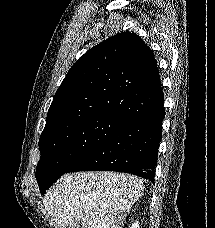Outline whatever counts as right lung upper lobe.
I'll list each match as a JSON object with an SVG mask.
<instances>
[{"label": "right lung upper lobe", "instance_id": "1", "mask_svg": "<svg viewBox=\"0 0 215 228\" xmlns=\"http://www.w3.org/2000/svg\"><path fill=\"white\" fill-rule=\"evenodd\" d=\"M164 101L153 51L121 32L87 51L71 67L47 113L42 134L95 116L129 120Z\"/></svg>", "mask_w": 215, "mask_h": 228}]
</instances>
